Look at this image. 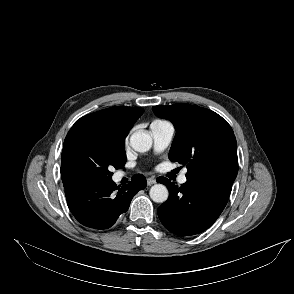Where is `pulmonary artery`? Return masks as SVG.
<instances>
[{"mask_svg":"<svg viewBox=\"0 0 294 294\" xmlns=\"http://www.w3.org/2000/svg\"><path fill=\"white\" fill-rule=\"evenodd\" d=\"M150 132L154 142V150L159 153L164 151L170 144L174 135V126L170 122H153L150 125ZM187 181L186 171L178 177V183L184 184Z\"/></svg>","mask_w":294,"mask_h":294,"instance_id":"e3ab8cb5","label":"pulmonary artery"}]
</instances>
